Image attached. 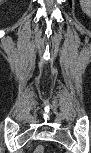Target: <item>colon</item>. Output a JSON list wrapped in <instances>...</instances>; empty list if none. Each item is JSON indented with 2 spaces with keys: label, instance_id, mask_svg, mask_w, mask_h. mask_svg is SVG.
<instances>
[{
  "label": "colon",
  "instance_id": "1",
  "mask_svg": "<svg viewBox=\"0 0 91 153\" xmlns=\"http://www.w3.org/2000/svg\"><path fill=\"white\" fill-rule=\"evenodd\" d=\"M45 148L43 146H38L35 148V153H44Z\"/></svg>",
  "mask_w": 91,
  "mask_h": 153
}]
</instances>
